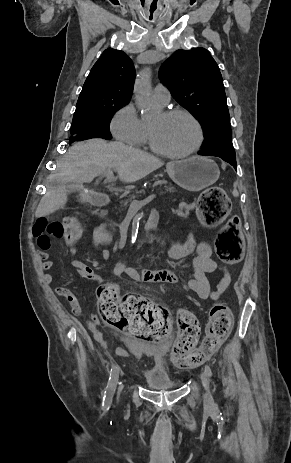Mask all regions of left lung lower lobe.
Segmentation results:
<instances>
[{"instance_id":"left-lung-lower-lobe-1","label":"left lung lower lobe","mask_w":291,"mask_h":463,"mask_svg":"<svg viewBox=\"0 0 291 463\" xmlns=\"http://www.w3.org/2000/svg\"><path fill=\"white\" fill-rule=\"evenodd\" d=\"M199 155H204V156H209V155H205L201 152H198ZM210 156H217V155H210ZM217 157H220L222 158L224 161L230 163L234 168L235 170H237V166H236V157H224V156H217Z\"/></svg>"}]
</instances>
